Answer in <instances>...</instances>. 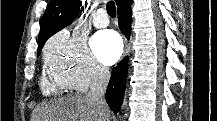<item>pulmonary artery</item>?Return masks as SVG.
<instances>
[{
    "mask_svg": "<svg viewBox=\"0 0 217 121\" xmlns=\"http://www.w3.org/2000/svg\"><path fill=\"white\" fill-rule=\"evenodd\" d=\"M93 25L97 28H104L109 24V17L103 9H98L92 19Z\"/></svg>",
    "mask_w": 217,
    "mask_h": 121,
    "instance_id": "obj_1",
    "label": "pulmonary artery"
}]
</instances>
